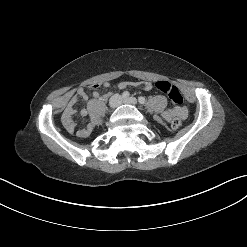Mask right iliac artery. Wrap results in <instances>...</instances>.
Returning <instances> with one entry per match:
<instances>
[{"instance_id": "obj_1", "label": "right iliac artery", "mask_w": 247, "mask_h": 247, "mask_svg": "<svg viewBox=\"0 0 247 247\" xmlns=\"http://www.w3.org/2000/svg\"><path fill=\"white\" fill-rule=\"evenodd\" d=\"M129 92L128 91H124L123 93H122V98H124V99H127V98H129Z\"/></svg>"}]
</instances>
